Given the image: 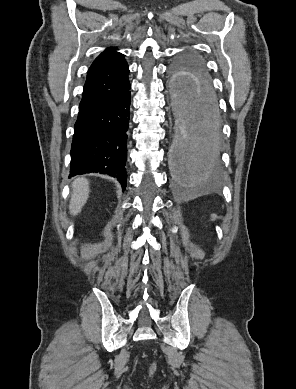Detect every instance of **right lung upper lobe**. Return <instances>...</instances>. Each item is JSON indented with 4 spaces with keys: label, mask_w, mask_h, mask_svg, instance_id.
I'll return each instance as SVG.
<instances>
[{
    "label": "right lung upper lobe",
    "mask_w": 296,
    "mask_h": 389,
    "mask_svg": "<svg viewBox=\"0 0 296 389\" xmlns=\"http://www.w3.org/2000/svg\"><path fill=\"white\" fill-rule=\"evenodd\" d=\"M124 55L110 47L92 63L87 73L80 106L110 97L129 84Z\"/></svg>",
    "instance_id": "1"
}]
</instances>
